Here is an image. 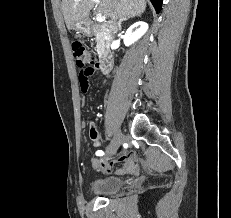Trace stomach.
Instances as JSON below:
<instances>
[{
	"label": "stomach",
	"instance_id": "obj_1",
	"mask_svg": "<svg viewBox=\"0 0 231 218\" xmlns=\"http://www.w3.org/2000/svg\"><path fill=\"white\" fill-rule=\"evenodd\" d=\"M73 29L79 34H86L88 32V27L85 20L76 22Z\"/></svg>",
	"mask_w": 231,
	"mask_h": 218
}]
</instances>
